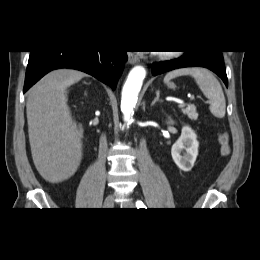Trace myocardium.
Instances as JSON below:
<instances>
[{"label":"myocardium","instance_id":"f54148a6","mask_svg":"<svg viewBox=\"0 0 260 260\" xmlns=\"http://www.w3.org/2000/svg\"><path fill=\"white\" fill-rule=\"evenodd\" d=\"M161 57H163V58H168V57H170V54H169V53H163V54L161 55Z\"/></svg>","mask_w":260,"mask_h":260}]
</instances>
